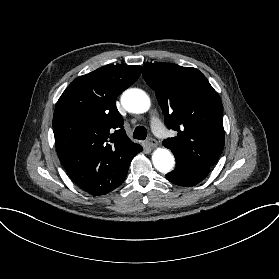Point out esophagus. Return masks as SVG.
I'll list each match as a JSON object with an SVG mask.
<instances>
[{
  "instance_id": "34e87169",
  "label": "esophagus",
  "mask_w": 279,
  "mask_h": 279,
  "mask_svg": "<svg viewBox=\"0 0 279 279\" xmlns=\"http://www.w3.org/2000/svg\"><path fill=\"white\" fill-rule=\"evenodd\" d=\"M147 143L150 147H153V148L158 146V142L154 138H149L147 140Z\"/></svg>"
}]
</instances>
